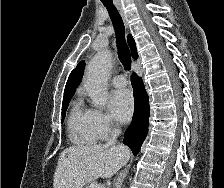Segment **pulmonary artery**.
<instances>
[{
	"mask_svg": "<svg viewBox=\"0 0 224 188\" xmlns=\"http://www.w3.org/2000/svg\"><path fill=\"white\" fill-rule=\"evenodd\" d=\"M111 83L115 87L122 88L127 85L128 81L124 75H117L112 78Z\"/></svg>",
	"mask_w": 224,
	"mask_h": 188,
	"instance_id": "e3ab8cb5",
	"label": "pulmonary artery"
}]
</instances>
